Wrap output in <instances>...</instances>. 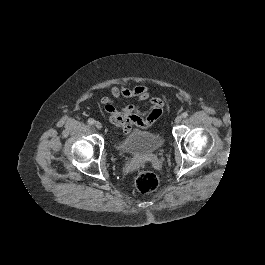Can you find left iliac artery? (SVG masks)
Listing matches in <instances>:
<instances>
[{
    "label": "left iliac artery",
    "mask_w": 265,
    "mask_h": 265,
    "mask_svg": "<svg viewBox=\"0 0 265 265\" xmlns=\"http://www.w3.org/2000/svg\"><path fill=\"white\" fill-rule=\"evenodd\" d=\"M182 117H184V118L188 117V113L187 112H183L182 113Z\"/></svg>",
    "instance_id": "44dca946"
}]
</instances>
